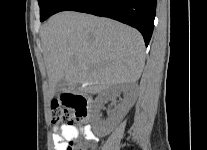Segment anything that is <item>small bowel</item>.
<instances>
[{
    "instance_id": "1",
    "label": "small bowel",
    "mask_w": 207,
    "mask_h": 150,
    "mask_svg": "<svg viewBox=\"0 0 207 150\" xmlns=\"http://www.w3.org/2000/svg\"><path fill=\"white\" fill-rule=\"evenodd\" d=\"M81 135L88 142H95L98 140L97 135L88 124L81 126L63 125L61 127H55L52 135L54 149L66 150L67 144Z\"/></svg>"
}]
</instances>
